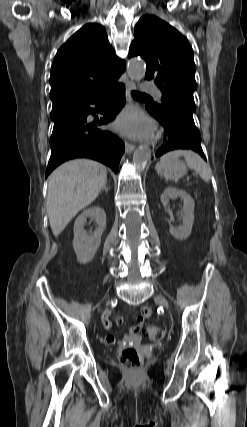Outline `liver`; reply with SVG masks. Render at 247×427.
Returning <instances> with one entry per match:
<instances>
[{"label": "liver", "instance_id": "obj_1", "mask_svg": "<svg viewBox=\"0 0 247 427\" xmlns=\"http://www.w3.org/2000/svg\"><path fill=\"white\" fill-rule=\"evenodd\" d=\"M106 181V167L89 159L68 161L51 173L47 213L55 237L80 210L97 198Z\"/></svg>", "mask_w": 247, "mask_h": 427}]
</instances>
